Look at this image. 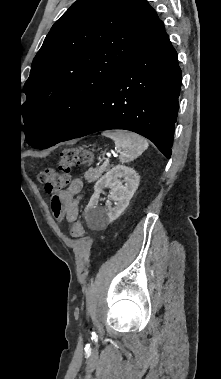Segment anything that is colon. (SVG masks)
I'll list each match as a JSON object with an SVG mask.
<instances>
[{"mask_svg": "<svg viewBox=\"0 0 221 379\" xmlns=\"http://www.w3.org/2000/svg\"><path fill=\"white\" fill-rule=\"evenodd\" d=\"M92 161L91 154L80 147L68 148L61 152L57 170L46 168L39 175V181L44 184L47 193L50 190H63L71 182L72 168L77 164L88 165ZM71 235L74 238H81L85 235L84 226L80 222H75L71 228Z\"/></svg>", "mask_w": 221, "mask_h": 379, "instance_id": "5ec220e1", "label": "colon"}]
</instances>
